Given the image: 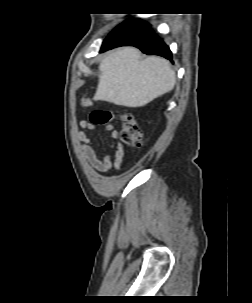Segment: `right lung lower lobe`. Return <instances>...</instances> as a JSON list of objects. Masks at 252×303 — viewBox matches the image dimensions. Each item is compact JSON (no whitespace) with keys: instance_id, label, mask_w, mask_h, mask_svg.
Returning a JSON list of instances; mask_svg holds the SVG:
<instances>
[{"instance_id":"obj_1","label":"right lung lower lobe","mask_w":252,"mask_h":303,"mask_svg":"<svg viewBox=\"0 0 252 303\" xmlns=\"http://www.w3.org/2000/svg\"><path fill=\"white\" fill-rule=\"evenodd\" d=\"M119 46H135L145 54L160 55L172 61L169 47L158 38L148 23L140 19L118 25L103 41L101 52Z\"/></svg>"}]
</instances>
